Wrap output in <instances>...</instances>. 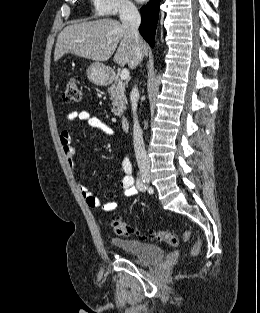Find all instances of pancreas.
<instances>
[{"label":"pancreas","mask_w":260,"mask_h":313,"mask_svg":"<svg viewBox=\"0 0 260 313\" xmlns=\"http://www.w3.org/2000/svg\"><path fill=\"white\" fill-rule=\"evenodd\" d=\"M107 92L110 96L112 112L116 116H121L126 109L127 104L125 83H123L120 79H116L107 89Z\"/></svg>","instance_id":"obj_1"}]
</instances>
